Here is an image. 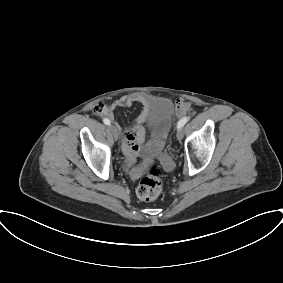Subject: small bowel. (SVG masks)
Segmentation results:
<instances>
[{"label": "small bowel", "mask_w": 283, "mask_h": 283, "mask_svg": "<svg viewBox=\"0 0 283 283\" xmlns=\"http://www.w3.org/2000/svg\"><path fill=\"white\" fill-rule=\"evenodd\" d=\"M135 103H141L143 109L136 118L134 124L127 129L116 125V128L121 132L122 145L125 152L124 167L132 178L140 176L142 170L134 166V159L139 153L145 152L146 132L144 123L149 115L150 99L142 93H132L121 97L114 101L109 106L105 107L102 114L110 119H114V110L118 107H131ZM189 103L186 100H178L176 114L178 116L185 115L189 110Z\"/></svg>", "instance_id": "small-bowel-1"}]
</instances>
